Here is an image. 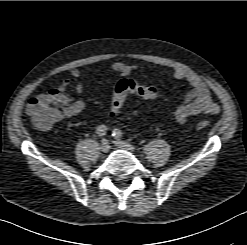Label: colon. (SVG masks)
<instances>
[{
    "instance_id": "1",
    "label": "colon",
    "mask_w": 247,
    "mask_h": 245,
    "mask_svg": "<svg viewBox=\"0 0 247 245\" xmlns=\"http://www.w3.org/2000/svg\"><path fill=\"white\" fill-rule=\"evenodd\" d=\"M129 95H136L144 99H155L159 95L156 87L138 83L130 78L121 79L114 87L110 113L116 115L120 111L124 101ZM65 102L60 96L47 94L32 98L27 105V113L32 123L39 129H50L63 117ZM208 122L201 120L197 123V129L207 128Z\"/></svg>"
}]
</instances>
